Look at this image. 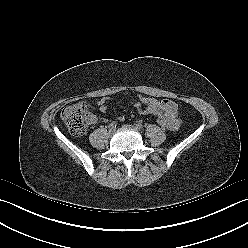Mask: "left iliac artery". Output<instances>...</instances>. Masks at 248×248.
<instances>
[{
    "instance_id": "44dca946",
    "label": "left iliac artery",
    "mask_w": 248,
    "mask_h": 248,
    "mask_svg": "<svg viewBox=\"0 0 248 248\" xmlns=\"http://www.w3.org/2000/svg\"><path fill=\"white\" fill-rule=\"evenodd\" d=\"M136 127L140 130V129H143V125L141 123H137L136 124Z\"/></svg>"
}]
</instances>
